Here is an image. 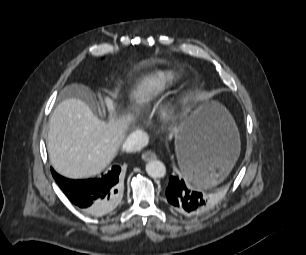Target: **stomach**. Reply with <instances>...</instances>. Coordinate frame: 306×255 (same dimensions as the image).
I'll return each mask as SVG.
<instances>
[{
  "instance_id": "1",
  "label": "stomach",
  "mask_w": 306,
  "mask_h": 255,
  "mask_svg": "<svg viewBox=\"0 0 306 255\" xmlns=\"http://www.w3.org/2000/svg\"><path fill=\"white\" fill-rule=\"evenodd\" d=\"M141 49L153 59L158 72L167 76L168 83H177V74L173 73L172 66L167 64L158 47L144 41ZM175 147L180 166L187 150L210 162L212 172L209 178H189L197 187L209 188L224 180L233 168L240 152V138L225 107L217 102L199 103L184 116L176 129Z\"/></svg>"
}]
</instances>
